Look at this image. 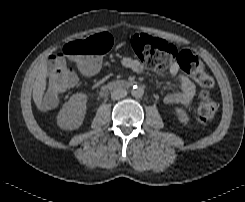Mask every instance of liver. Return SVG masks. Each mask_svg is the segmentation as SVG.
Segmentation results:
<instances>
[{"label": "liver", "instance_id": "obj_1", "mask_svg": "<svg viewBox=\"0 0 245 202\" xmlns=\"http://www.w3.org/2000/svg\"><path fill=\"white\" fill-rule=\"evenodd\" d=\"M47 64L43 62L38 67V74L34 83L33 99L39 109H42V97L46 89Z\"/></svg>", "mask_w": 245, "mask_h": 202}]
</instances>
